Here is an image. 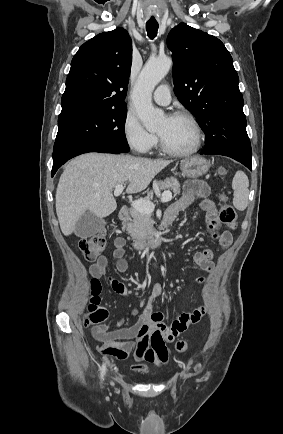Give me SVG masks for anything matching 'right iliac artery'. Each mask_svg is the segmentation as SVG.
Instances as JSON below:
<instances>
[{
	"label": "right iliac artery",
	"instance_id": "obj_1",
	"mask_svg": "<svg viewBox=\"0 0 283 434\" xmlns=\"http://www.w3.org/2000/svg\"><path fill=\"white\" fill-rule=\"evenodd\" d=\"M105 371H106V364L104 363L101 367V379L104 377Z\"/></svg>",
	"mask_w": 283,
	"mask_h": 434
}]
</instances>
